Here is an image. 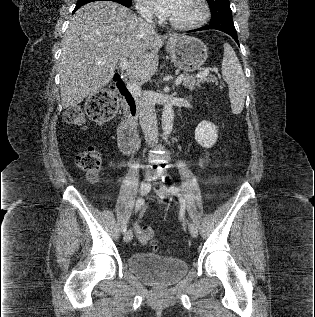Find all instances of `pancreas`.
Returning <instances> with one entry per match:
<instances>
[{
	"label": "pancreas",
	"instance_id": "cf45deb5",
	"mask_svg": "<svg viewBox=\"0 0 315 317\" xmlns=\"http://www.w3.org/2000/svg\"><path fill=\"white\" fill-rule=\"evenodd\" d=\"M204 82H215L217 84V78L215 76L209 75L202 78L190 76L188 74L184 75L183 86L193 90L196 86H200V83Z\"/></svg>",
	"mask_w": 315,
	"mask_h": 317
}]
</instances>
